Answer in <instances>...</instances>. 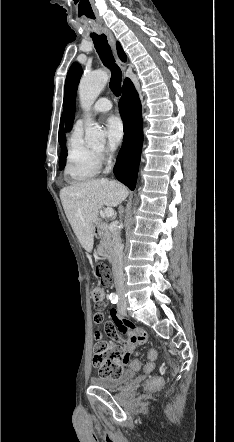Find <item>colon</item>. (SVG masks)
<instances>
[{
	"label": "colon",
	"instance_id": "1",
	"mask_svg": "<svg viewBox=\"0 0 234 442\" xmlns=\"http://www.w3.org/2000/svg\"><path fill=\"white\" fill-rule=\"evenodd\" d=\"M95 274L103 286H109L112 281V275L108 264L102 260H98L95 264ZM91 297L95 307L98 310L103 309L104 291L101 287H94L91 292ZM96 323V322H95ZM102 323V322H100ZM97 324V323H96ZM98 338H101V333H98ZM118 338V337H109ZM118 343V341H116ZM144 354L148 363L144 366L145 371H151L154 367V362L157 359L158 352L153 346L144 349ZM94 365L98 367L101 376H116L119 375L124 367H129L130 370L141 369L142 363L136 358L133 350L126 349L124 346L111 345L107 341L100 340L95 348ZM149 389H162V380H149Z\"/></svg>",
	"mask_w": 234,
	"mask_h": 442
}]
</instances>
